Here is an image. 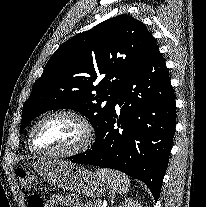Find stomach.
I'll list each match as a JSON object with an SVG mask.
<instances>
[{
    "instance_id": "stomach-1",
    "label": "stomach",
    "mask_w": 206,
    "mask_h": 207,
    "mask_svg": "<svg viewBox=\"0 0 206 207\" xmlns=\"http://www.w3.org/2000/svg\"><path fill=\"white\" fill-rule=\"evenodd\" d=\"M30 165L51 186L87 197H101L109 187L106 180L83 166L52 159H39Z\"/></svg>"
}]
</instances>
